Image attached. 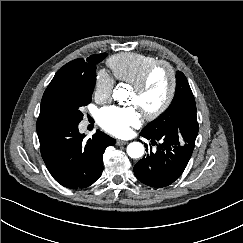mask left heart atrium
I'll list each match as a JSON object with an SVG mask.
<instances>
[{
    "instance_id": "1",
    "label": "left heart atrium",
    "mask_w": 243,
    "mask_h": 243,
    "mask_svg": "<svg viewBox=\"0 0 243 243\" xmlns=\"http://www.w3.org/2000/svg\"><path fill=\"white\" fill-rule=\"evenodd\" d=\"M97 120L107 132L125 136L130 133L132 127L140 124L141 117L136 106H108L98 112Z\"/></svg>"
}]
</instances>
